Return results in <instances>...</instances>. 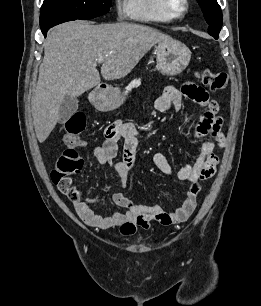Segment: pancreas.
Masks as SVG:
<instances>
[{"label": "pancreas", "instance_id": "cf45deb5", "mask_svg": "<svg viewBox=\"0 0 261 306\" xmlns=\"http://www.w3.org/2000/svg\"><path fill=\"white\" fill-rule=\"evenodd\" d=\"M140 85H141V80L140 79H134L126 87V91L124 92V94H127L129 91H131L132 88L139 87Z\"/></svg>", "mask_w": 261, "mask_h": 306}]
</instances>
